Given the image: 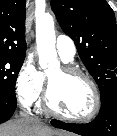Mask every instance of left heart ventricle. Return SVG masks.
I'll use <instances>...</instances> for the list:
<instances>
[{
    "mask_svg": "<svg viewBox=\"0 0 117 136\" xmlns=\"http://www.w3.org/2000/svg\"><path fill=\"white\" fill-rule=\"evenodd\" d=\"M51 103L58 111L72 117H83L93 108L94 96L81 77L65 76L61 68L49 75Z\"/></svg>",
    "mask_w": 117,
    "mask_h": 136,
    "instance_id": "obj_1",
    "label": "left heart ventricle"
}]
</instances>
